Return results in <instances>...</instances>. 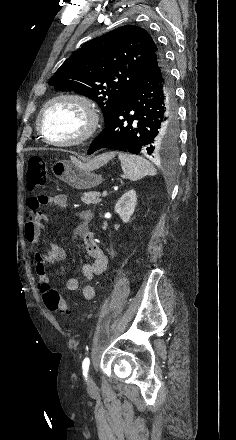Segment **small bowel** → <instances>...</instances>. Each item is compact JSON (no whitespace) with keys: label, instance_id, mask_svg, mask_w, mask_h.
<instances>
[{"label":"small bowel","instance_id":"1","mask_svg":"<svg viewBox=\"0 0 236 440\" xmlns=\"http://www.w3.org/2000/svg\"><path fill=\"white\" fill-rule=\"evenodd\" d=\"M67 205L68 197L64 194L52 197L38 195L30 198L28 203L29 212L24 226L25 238L33 246H44L42 250L34 252L35 271L39 277L41 288L47 284V267L66 258V252L62 246L42 238L47 220V213L44 208H64ZM78 218L79 221L73 232V240L76 243L82 242L87 254L92 258V262L84 264L81 268V275L86 280H92L106 270L108 258L99 247L93 233L89 230L92 212L83 210L78 214ZM79 286L80 283L77 278H70L67 280L65 287L67 291H76ZM82 295L85 300H92L95 297L94 287L91 285L84 286Z\"/></svg>","mask_w":236,"mask_h":440}]
</instances>
